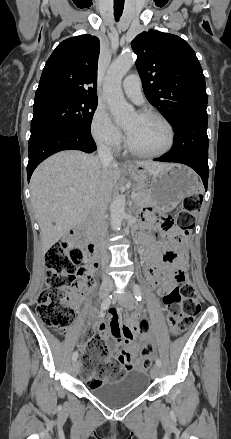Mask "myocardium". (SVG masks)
<instances>
[{
  "instance_id": "myocardium-1",
  "label": "myocardium",
  "mask_w": 231,
  "mask_h": 439,
  "mask_svg": "<svg viewBox=\"0 0 231 439\" xmlns=\"http://www.w3.org/2000/svg\"><path fill=\"white\" fill-rule=\"evenodd\" d=\"M139 116H149V117H155L159 119L167 128L168 130V143L167 145L162 148L159 151L155 152H142L134 148L131 143L129 142L128 136L126 137V148L130 153H132L135 156L141 157V158H157L160 156H163L164 154L168 153L174 146L175 143V130L172 125V123L169 121V119L164 116L162 113L152 110V109H144L137 113Z\"/></svg>"
}]
</instances>
